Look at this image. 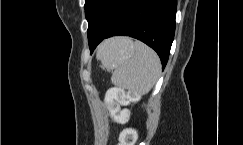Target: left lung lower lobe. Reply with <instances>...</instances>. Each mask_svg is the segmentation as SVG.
Instances as JSON below:
<instances>
[{
	"instance_id": "obj_1",
	"label": "left lung lower lobe",
	"mask_w": 243,
	"mask_h": 145,
	"mask_svg": "<svg viewBox=\"0 0 243 145\" xmlns=\"http://www.w3.org/2000/svg\"><path fill=\"white\" fill-rule=\"evenodd\" d=\"M176 8L177 0H127L108 28L96 23L89 25L91 53L105 38L131 36L153 48L164 69L174 39Z\"/></svg>"
}]
</instances>
